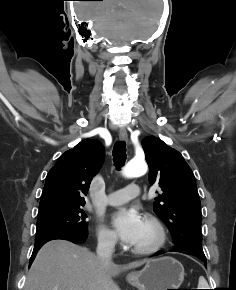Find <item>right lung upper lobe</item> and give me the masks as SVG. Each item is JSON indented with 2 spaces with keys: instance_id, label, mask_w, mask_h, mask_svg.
Returning a JSON list of instances; mask_svg holds the SVG:
<instances>
[{
  "instance_id": "obj_1",
  "label": "right lung upper lobe",
  "mask_w": 236,
  "mask_h": 290,
  "mask_svg": "<svg viewBox=\"0 0 236 290\" xmlns=\"http://www.w3.org/2000/svg\"><path fill=\"white\" fill-rule=\"evenodd\" d=\"M104 148L98 141L83 140L66 151L47 174L39 209L83 205L92 178L104 161Z\"/></svg>"
}]
</instances>
